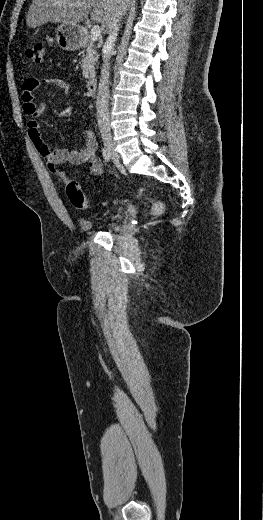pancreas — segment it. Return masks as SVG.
<instances>
[{
	"instance_id": "1",
	"label": "pancreas",
	"mask_w": 263,
	"mask_h": 520,
	"mask_svg": "<svg viewBox=\"0 0 263 520\" xmlns=\"http://www.w3.org/2000/svg\"><path fill=\"white\" fill-rule=\"evenodd\" d=\"M83 45L86 54L83 56L81 67L83 77L89 79L95 76V66L98 62L97 46L88 36L84 38Z\"/></svg>"
}]
</instances>
